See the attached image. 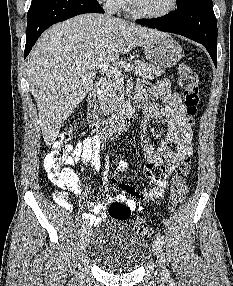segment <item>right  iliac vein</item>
I'll return each instance as SVG.
<instances>
[{"label":"right iliac vein","instance_id":"obj_1","mask_svg":"<svg viewBox=\"0 0 233 286\" xmlns=\"http://www.w3.org/2000/svg\"><path fill=\"white\" fill-rule=\"evenodd\" d=\"M90 240V231L85 229L81 234V249L84 250Z\"/></svg>","mask_w":233,"mask_h":286}]
</instances>
